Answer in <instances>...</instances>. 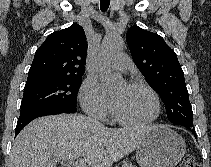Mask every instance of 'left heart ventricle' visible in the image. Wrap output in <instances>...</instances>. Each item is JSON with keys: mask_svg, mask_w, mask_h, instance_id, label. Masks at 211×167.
Returning a JSON list of instances; mask_svg holds the SVG:
<instances>
[{"mask_svg": "<svg viewBox=\"0 0 211 167\" xmlns=\"http://www.w3.org/2000/svg\"><path fill=\"white\" fill-rule=\"evenodd\" d=\"M117 99L115 110L122 117L133 121H144L153 116L155 102L152 95L144 89L120 86L114 93Z\"/></svg>", "mask_w": 211, "mask_h": 167, "instance_id": "1", "label": "left heart ventricle"}]
</instances>
